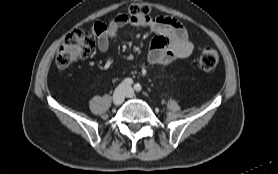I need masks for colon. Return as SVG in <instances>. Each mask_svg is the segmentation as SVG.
Listing matches in <instances>:
<instances>
[{
  "label": "colon",
  "mask_w": 278,
  "mask_h": 174,
  "mask_svg": "<svg viewBox=\"0 0 278 174\" xmlns=\"http://www.w3.org/2000/svg\"><path fill=\"white\" fill-rule=\"evenodd\" d=\"M127 13L132 16L148 13V7L143 4H131ZM117 29V20L109 23L97 22L92 28L93 35L86 34L82 30H74L69 33L56 55V64L59 68H66L77 60L86 58L96 45L95 37L106 34H114ZM219 61L218 52L212 47L204 48L199 56V65L204 71H213Z\"/></svg>",
  "instance_id": "colon-1"
}]
</instances>
